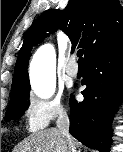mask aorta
Listing matches in <instances>:
<instances>
[{"label": "aorta", "mask_w": 123, "mask_h": 152, "mask_svg": "<svg viewBox=\"0 0 123 152\" xmlns=\"http://www.w3.org/2000/svg\"><path fill=\"white\" fill-rule=\"evenodd\" d=\"M56 54L51 44L40 46L30 64L31 86L41 99L51 98L56 87Z\"/></svg>", "instance_id": "762f6f07"}]
</instances>
